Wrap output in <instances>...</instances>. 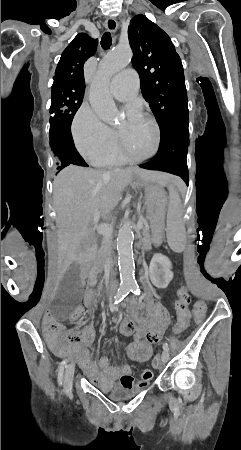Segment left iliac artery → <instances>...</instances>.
Instances as JSON below:
<instances>
[{
  "label": "left iliac artery",
  "instance_id": "44dca946",
  "mask_svg": "<svg viewBox=\"0 0 241 450\" xmlns=\"http://www.w3.org/2000/svg\"><path fill=\"white\" fill-rule=\"evenodd\" d=\"M131 291H132V293H134L135 295H139V294H140V288H139L138 285L132 286ZM163 349L166 350V351H169V345H168L167 343H164V344H163Z\"/></svg>",
  "mask_w": 241,
  "mask_h": 450
}]
</instances>
